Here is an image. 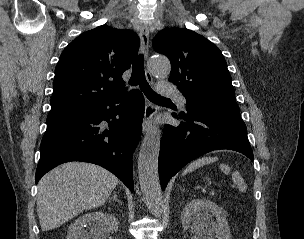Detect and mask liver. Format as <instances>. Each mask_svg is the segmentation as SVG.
<instances>
[{"instance_id":"1","label":"liver","mask_w":304,"mask_h":239,"mask_svg":"<svg viewBox=\"0 0 304 239\" xmlns=\"http://www.w3.org/2000/svg\"><path fill=\"white\" fill-rule=\"evenodd\" d=\"M117 184L116 176L94 164L68 162L54 168L38 183L37 214L42 231L101 206Z\"/></svg>"}]
</instances>
